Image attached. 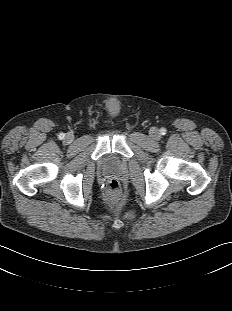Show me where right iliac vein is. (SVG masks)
I'll use <instances>...</instances> for the list:
<instances>
[{"mask_svg": "<svg viewBox=\"0 0 232 311\" xmlns=\"http://www.w3.org/2000/svg\"><path fill=\"white\" fill-rule=\"evenodd\" d=\"M73 139H74V136L70 133L65 136V142L67 143H71Z\"/></svg>", "mask_w": 232, "mask_h": 311, "instance_id": "right-iliac-vein-1", "label": "right iliac vein"}]
</instances>
